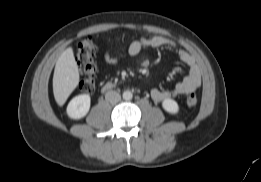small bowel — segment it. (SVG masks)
<instances>
[{
  "instance_id": "obj_1",
  "label": "small bowel",
  "mask_w": 261,
  "mask_h": 182,
  "mask_svg": "<svg viewBox=\"0 0 261 182\" xmlns=\"http://www.w3.org/2000/svg\"><path fill=\"white\" fill-rule=\"evenodd\" d=\"M145 47L170 48L176 52L179 60L188 68L187 76L181 82L177 83L171 90L152 89L151 97L154 101L162 102L179 95L191 94L200 88L201 70L195 57L186 50L180 48L175 41L164 36L147 35L134 40L130 44L128 52L131 56H136ZM104 59L108 64H115L117 62V58L113 57L108 51L105 53Z\"/></svg>"
}]
</instances>
